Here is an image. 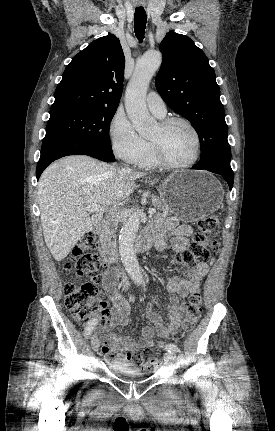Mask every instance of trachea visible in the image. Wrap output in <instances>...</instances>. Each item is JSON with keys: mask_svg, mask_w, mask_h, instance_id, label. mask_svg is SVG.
<instances>
[{"mask_svg": "<svg viewBox=\"0 0 275 431\" xmlns=\"http://www.w3.org/2000/svg\"><path fill=\"white\" fill-rule=\"evenodd\" d=\"M146 12L143 8H136L134 15V30L137 39L142 42L145 37Z\"/></svg>", "mask_w": 275, "mask_h": 431, "instance_id": "1", "label": "trachea"}]
</instances>
